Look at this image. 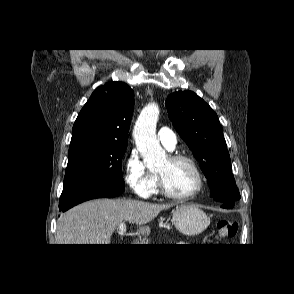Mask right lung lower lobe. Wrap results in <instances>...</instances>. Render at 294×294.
Here are the masks:
<instances>
[{"instance_id":"98d812e1","label":"right lung lower lobe","mask_w":294,"mask_h":294,"mask_svg":"<svg viewBox=\"0 0 294 294\" xmlns=\"http://www.w3.org/2000/svg\"><path fill=\"white\" fill-rule=\"evenodd\" d=\"M124 186L119 185H85L72 191L62 193L59 201V210L64 212L84 201L95 198H112L121 195Z\"/></svg>"}]
</instances>
